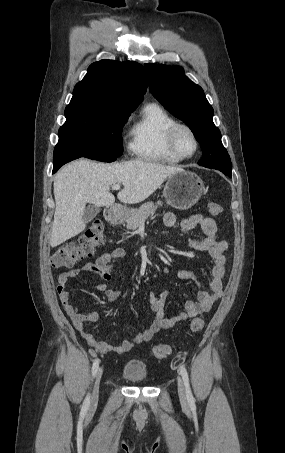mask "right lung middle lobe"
<instances>
[{
	"label": "right lung middle lobe",
	"instance_id": "dd1d6c3e",
	"mask_svg": "<svg viewBox=\"0 0 285 453\" xmlns=\"http://www.w3.org/2000/svg\"><path fill=\"white\" fill-rule=\"evenodd\" d=\"M132 111L102 106L68 105L66 122L59 129L57 148L77 158L113 162L122 155V127Z\"/></svg>",
	"mask_w": 285,
	"mask_h": 453
}]
</instances>
